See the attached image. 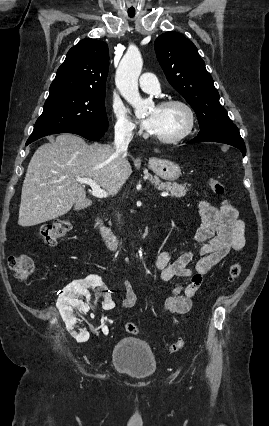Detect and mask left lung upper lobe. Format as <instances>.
Listing matches in <instances>:
<instances>
[{
    "label": "left lung upper lobe",
    "instance_id": "1",
    "mask_svg": "<svg viewBox=\"0 0 269 426\" xmlns=\"http://www.w3.org/2000/svg\"><path fill=\"white\" fill-rule=\"evenodd\" d=\"M154 48L167 80L194 109L199 121V133L212 134L234 125L220 105L213 79L190 40L170 31L156 39Z\"/></svg>",
    "mask_w": 269,
    "mask_h": 426
}]
</instances>
